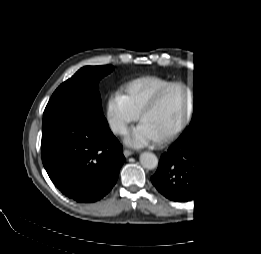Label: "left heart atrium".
Masks as SVG:
<instances>
[{
    "label": "left heart atrium",
    "instance_id": "left-heart-atrium-1",
    "mask_svg": "<svg viewBox=\"0 0 261 254\" xmlns=\"http://www.w3.org/2000/svg\"><path fill=\"white\" fill-rule=\"evenodd\" d=\"M124 141L128 146L140 148L153 144L155 136L142 123L129 130L124 137Z\"/></svg>",
    "mask_w": 261,
    "mask_h": 254
}]
</instances>
